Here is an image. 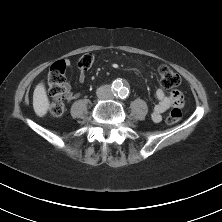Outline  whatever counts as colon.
<instances>
[{
	"label": "colon",
	"instance_id": "colon-1",
	"mask_svg": "<svg viewBox=\"0 0 222 222\" xmlns=\"http://www.w3.org/2000/svg\"><path fill=\"white\" fill-rule=\"evenodd\" d=\"M97 55L93 52H87L81 55L78 59V67L82 71L89 70L96 61ZM67 64L64 60L54 62L48 74V90L52 97V102L49 105V113L52 116H61L65 110V71ZM158 76L160 84L166 89L177 87L181 78L177 72L168 66H161L158 69ZM182 117V111L171 110L166 123L169 125L177 123Z\"/></svg>",
	"mask_w": 222,
	"mask_h": 222
}]
</instances>
